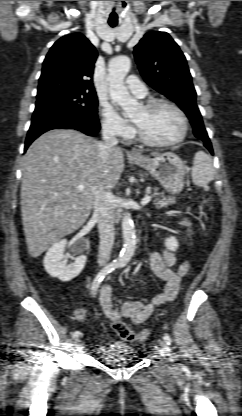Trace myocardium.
<instances>
[{"label":"myocardium","instance_id":"1","mask_svg":"<svg viewBox=\"0 0 242 416\" xmlns=\"http://www.w3.org/2000/svg\"><path fill=\"white\" fill-rule=\"evenodd\" d=\"M160 106H166L171 108L172 110H174L177 115L179 116L180 120H181V124H182V129H181V133L179 134V136L173 140H169V141H156L153 140L151 138H149L143 131L142 129L136 125V123L133 122V129H134V136L135 138L141 142L142 144L149 146V147H168V146H173L176 145L180 142H182L188 132V119L184 113V111L175 103L165 100V99H151L149 101H147L146 103L143 104V107L146 110H153L157 107Z\"/></svg>","mask_w":242,"mask_h":416}]
</instances>
